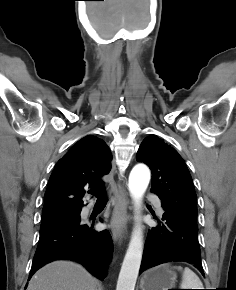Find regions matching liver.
I'll use <instances>...</instances> for the list:
<instances>
[{
    "instance_id": "1",
    "label": "liver",
    "mask_w": 236,
    "mask_h": 290,
    "mask_svg": "<svg viewBox=\"0 0 236 290\" xmlns=\"http://www.w3.org/2000/svg\"><path fill=\"white\" fill-rule=\"evenodd\" d=\"M98 280L72 261H54L38 270L27 290H97Z\"/></svg>"
}]
</instances>
